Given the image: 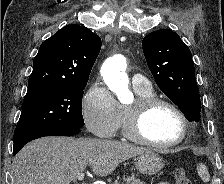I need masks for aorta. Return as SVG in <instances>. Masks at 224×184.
Returning a JSON list of instances; mask_svg holds the SVG:
<instances>
[{
	"label": "aorta",
	"instance_id": "aorta-1",
	"mask_svg": "<svg viewBox=\"0 0 224 184\" xmlns=\"http://www.w3.org/2000/svg\"><path fill=\"white\" fill-rule=\"evenodd\" d=\"M127 62L122 55L108 58L101 67V75L109 89L114 92L121 103L132 98L128 88L129 79L126 74Z\"/></svg>",
	"mask_w": 224,
	"mask_h": 184
}]
</instances>
